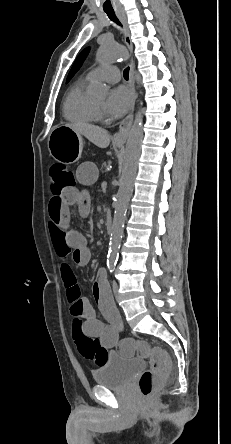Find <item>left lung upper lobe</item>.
I'll use <instances>...</instances> for the list:
<instances>
[{"label": "left lung upper lobe", "instance_id": "5c2ea615", "mask_svg": "<svg viewBox=\"0 0 231 444\" xmlns=\"http://www.w3.org/2000/svg\"><path fill=\"white\" fill-rule=\"evenodd\" d=\"M89 51V48L84 49L79 56L77 57L68 77H67V82L74 76V74L79 70V68L81 67L87 53Z\"/></svg>", "mask_w": 231, "mask_h": 444}]
</instances>
